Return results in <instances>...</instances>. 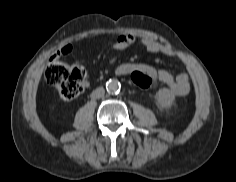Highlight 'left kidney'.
I'll return each instance as SVG.
<instances>
[{
	"mask_svg": "<svg viewBox=\"0 0 236 182\" xmlns=\"http://www.w3.org/2000/svg\"><path fill=\"white\" fill-rule=\"evenodd\" d=\"M157 104L161 108H171L175 101V95L167 88L160 89L156 94Z\"/></svg>",
	"mask_w": 236,
	"mask_h": 182,
	"instance_id": "left-kidney-1",
	"label": "left kidney"
}]
</instances>
